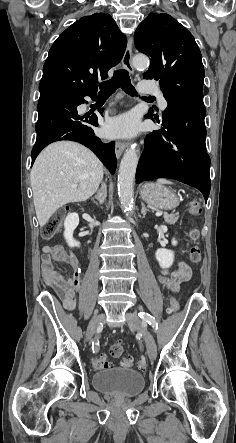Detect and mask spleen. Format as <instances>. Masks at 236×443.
Instances as JSON below:
<instances>
[{
    "label": "spleen",
    "instance_id": "spleen-1",
    "mask_svg": "<svg viewBox=\"0 0 236 443\" xmlns=\"http://www.w3.org/2000/svg\"><path fill=\"white\" fill-rule=\"evenodd\" d=\"M157 182L160 183V184H172L171 181L166 180V179H164V178H160V179H158Z\"/></svg>",
    "mask_w": 236,
    "mask_h": 443
}]
</instances>
